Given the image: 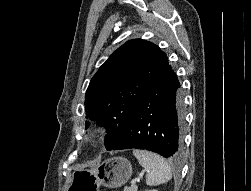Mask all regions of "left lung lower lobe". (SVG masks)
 I'll return each mask as SVG.
<instances>
[{"instance_id":"0a47b994","label":"left lung lower lobe","mask_w":251,"mask_h":191,"mask_svg":"<svg viewBox=\"0 0 251 191\" xmlns=\"http://www.w3.org/2000/svg\"><path fill=\"white\" fill-rule=\"evenodd\" d=\"M176 73L168 65L137 104L110 150L146 149L165 158L182 149V97Z\"/></svg>"}]
</instances>
